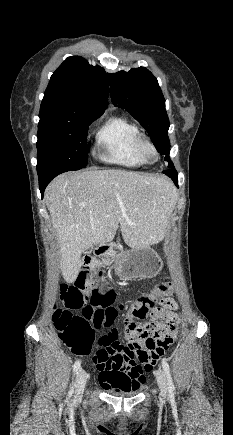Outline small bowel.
<instances>
[{
	"label": "small bowel",
	"mask_w": 233,
	"mask_h": 435,
	"mask_svg": "<svg viewBox=\"0 0 233 435\" xmlns=\"http://www.w3.org/2000/svg\"><path fill=\"white\" fill-rule=\"evenodd\" d=\"M116 291L117 285L114 282L101 281L93 283L88 290L82 293L85 298H91L95 295H115ZM159 302L161 304L160 312L148 324L159 330L164 324H168L177 330L180 322V316L176 313L177 304L170 296L160 298ZM161 319L165 320V322H161ZM103 338L110 339L115 343L118 339V332L112 329L103 335ZM95 367L98 372L99 382L104 389H117L118 384L115 377L121 374L126 376L130 386L140 383L144 380V373L147 371L140 365L126 366L123 356L118 353L111 355L105 362L95 363Z\"/></svg>",
	"instance_id": "small-bowel-1"
}]
</instances>
